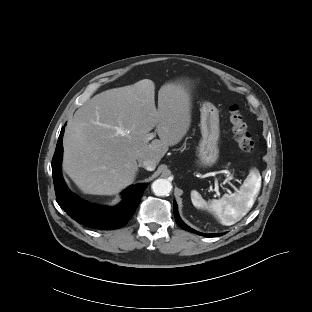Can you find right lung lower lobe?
Here are the masks:
<instances>
[{"label": "right lung lower lobe", "instance_id": "1", "mask_svg": "<svg viewBox=\"0 0 312 312\" xmlns=\"http://www.w3.org/2000/svg\"><path fill=\"white\" fill-rule=\"evenodd\" d=\"M63 133L64 127L61 129L52 159L53 182L59 206L72 219L88 228L109 230L123 227L136 211L147 184H137L127 188L122 193V202L115 207L100 206L84 201L68 189L61 174Z\"/></svg>", "mask_w": 312, "mask_h": 312}]
</instances>
